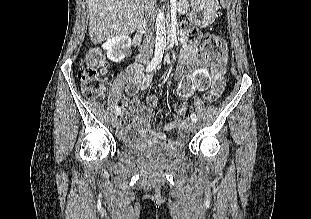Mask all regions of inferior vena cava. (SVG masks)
I'll list each match as a JSON object with an SVG mask.
<instances>
[{
  "label": "inferior vena cava",
  "mask_w": 311,
  "mask_h": 219,
  "mask_svg": "<svg viewBox=\"0 0 311 219\" xmlns=\"http://www.w3.org/2000/svg\"><path fill=\"white\" fill-rule=\"evenodd\" d=\"M146 16L148 17V27L143 39V52H152L153 51V35L151 33L152 28V16L155 9V0H144Z\"/></svg>",
  "instance_id": "602c4592"
}]
</instances>
